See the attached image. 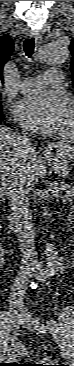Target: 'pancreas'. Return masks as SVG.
Here are the masks:
<instances>
[{"mask_svg":"<svg viewBox=\"0 0 74 366\" xmlns=\"http://www.w3.org/2000/svg\"><path fill=\"white\" fill-rule=\"evenodd\" d=\"M55 190L65 192V199L70 201L73 199V187L72 185L63 184L60 187L55 188Z\"/></svg>","mask_w":74,"mask_h":366,"instance_id":"1","label":"pancreas"}]
</instances>
